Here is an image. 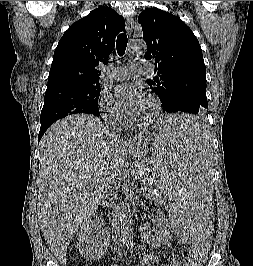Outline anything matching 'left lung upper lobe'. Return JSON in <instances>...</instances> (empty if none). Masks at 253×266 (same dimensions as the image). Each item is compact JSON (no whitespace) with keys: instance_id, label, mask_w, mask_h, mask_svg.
Here are the masks:
<instances>
[{"instance_id":"1","label":"left lung upper lobe","mask_w":253,"mask_h":266,"mask_svg":"<svg viewBox=\"0 0 253 266\" xmlns=\"http://www.w3.org/2000/svg\"><path fill=\"white\" fill-rule=\"evenodd\" d=\"M143 39L147 43L146 60H155L157 76L148 84L161 102L164 112L172 113L179 98L193 94L205 109L206 67L200 44L192 30L179 18L157 8L140 13Z\"/></svg>"}]
</instances>
